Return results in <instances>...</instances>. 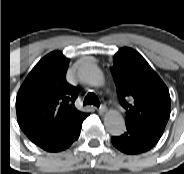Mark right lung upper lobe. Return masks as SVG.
I'll list each match as a JSON object with an SVG mask.
<instances>
[{"label":"right lung upper lobe","instance_id":"1","mask_svg":"<svg viewBox=\"0 0 184 174\" xmlns=\"http://www.w3.org/2000/svg\"><path fill=\"white\" fill-rule=\"evenodd\" d=\"M69 61L59 52L42 58L30 72L16 99L19 125L37 145L50 142L86 117L76 110L77 89L67 83Z\"/></svg>","mask_w":184,"mask_h":174}]
</instances>
